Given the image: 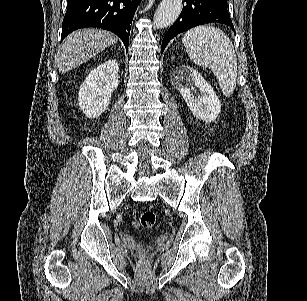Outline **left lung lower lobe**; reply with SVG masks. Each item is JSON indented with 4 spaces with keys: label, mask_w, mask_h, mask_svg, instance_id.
<instances>
[{
    "label": "left lung lower lobe",
    "mask_w": 307,
    "mask_h": 301,
    "mask_svg": "<svg viewBox=\"0 0 307 301\" xmlns=\"http://www.w3.org/2000/svg\"><path fill=\"white\" fill-rule=\"evenodd\" d=\"M183 10L167 31L161 46L163 53L169 41L179 33H182L192 27L205 23L217 22L230 26L233 30V24L227 11V0H184Z\"/></svg>",
    "instance_id": "0a47b994"
}]
</instances>
